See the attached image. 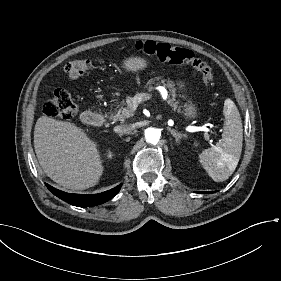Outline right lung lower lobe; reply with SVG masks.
I'll use <instances>...</instances> for the list:
<instances>
[{
	"label": "right lung lower lobe",
	"mask_w": 281,
	"mask_h": 281,
	"mask_svg": "<svg viewBox=\"0 0 281 281\" xmlns=\"http://www.w3.org/2000/svg\"><path fill=\"white\" fill-rule=\"evenodd\" d=\"M47 188L63 201L78 207H91L102 204L113 198L120 190L122 184L99 194H71L60 191L46 184Z\"/></svg>",
	"instance_id": "obj_1"
}]
</instances>
